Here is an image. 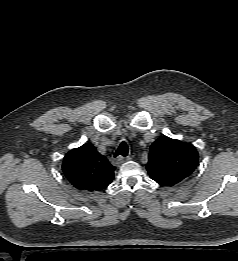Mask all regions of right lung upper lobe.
<instances>
[{
  "instance_id": "obj_1",
  "label": "right lung upper lobe",
  "mask_w": 238,
  "mask_h": 261,
  "mask_svg": "<svg viewBox=\"0 0 238 261\" xmlns=\"http://www.w3.org/2000/svg\"><path fill=\"white\" fill-rule=\"evenodd\" d=\"M62 169L75 188L93 192L112 182L115 167L94 146L84 144L65 155Z\"/></svg>"
}]
</instances>
